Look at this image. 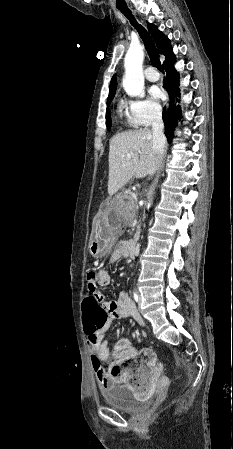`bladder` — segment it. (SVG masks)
<instances>
[{
    "mask_svg": "<svg viewBox=\"0 0 233 449\" xmlns=\"http://www.w3.org/2000/svg\"><path fill=\"white\" fill-rule=\"evenodd\" d=\"M105 402L113 409L124 412H135L148 407L147 400L135 399L131 389L115 385L102 392Z\"/></svg>",
    "mask_w": 233,
    "mask_h": 449,
    "instance_id": "31cf9c89",
    "label": "bladder"
}]
</instances>
